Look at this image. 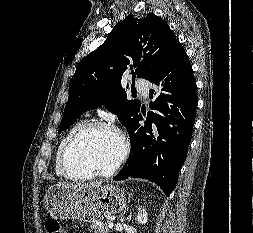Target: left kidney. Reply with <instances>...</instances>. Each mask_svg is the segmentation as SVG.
Instances as JSON below:
<instances>
[{
    "label": "left kidney",
    "instance_id": "obj_1",
    "mask_svg": "<svg viewBox=\"0 0 253 233\" xmlns=\"http://www.w3.org/2000/svg\"><path fill=\"white\" fill-rule=\"evenodd\" d=\"M136 219L138 223L140 224H146L148 220V213L146 212V209L144 207H139Z\"/></svg>",
    "mask_w": 253,
    "mask_h": 233
}]
</instances>
